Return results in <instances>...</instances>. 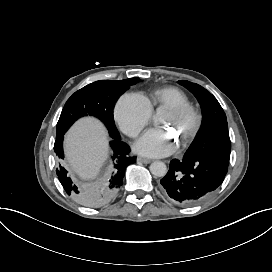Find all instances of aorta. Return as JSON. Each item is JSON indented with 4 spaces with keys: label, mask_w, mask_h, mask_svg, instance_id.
<instances>
[{
    "label": "aorta",
    "mask_w": 272,
    "mask_h": 272,
    "mask_svg": "<svg viewBox=\"0 0 272 272\" xmlns=\"http://www.w3.org/2000/svg\"><path fill=\"white\" fill-rule=\"evenodd\" d=\"M164 114L162 106L156 108V112L153 114V122H160L161 115ZM167 166L162 161H155L150 165V172L157 177H164L167 174Z\"/></svg>",
    "instance_id": "aorta-1"
}]
</instances>
